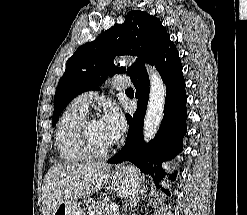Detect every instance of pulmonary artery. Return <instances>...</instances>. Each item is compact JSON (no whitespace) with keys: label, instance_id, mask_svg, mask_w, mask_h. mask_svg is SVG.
<instances>
[{"label":"pulmonary artery","instance_id":"1","mask_svg":"<svg viewBox=\"0 0 247 215\" xmlns=\"http://www.w3.org/2000/svg\"><path fill=\"white\" fill-rule=\"evenodd\" d=\"M131 85V80L127 76L117 75L115 76L112 86L115 89H124ZM98 95L97 92L89 91L84 92L77 96L74 102L83 109L88 108L90 101Z\"/></svg>","mask_w":247,"mask_h":215}]
</instances>
